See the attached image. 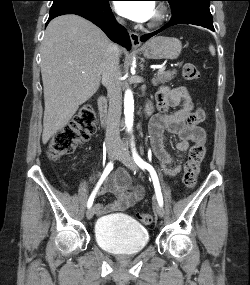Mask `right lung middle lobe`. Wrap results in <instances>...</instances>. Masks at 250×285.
<instances>
[{
  "label": "right lung middle lobe",
  "mask_w": 250,
  "mask_h": 285,
  "mask_svg": "<svg viewBox=\"0 0 250 285\" xmlns=\"http://www.w3.org/2000/svg\"><path fill=\"white\" fill-rule=\"evenodd\" d=\"M50 16L72 9H97L101 8L109 0H52Z\"/></svg>",
  "instance_id": "1"
}]
</instances>
